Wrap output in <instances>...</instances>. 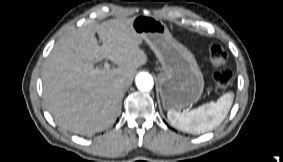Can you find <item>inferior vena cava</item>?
<instances>
[{
  "label": "inferior vena cava",
  "mask_w": 283,
  "mask_h": 162,
  "mask_svg": "<svg viewBox=\"0 0 283 162\" xmlns=\"http://www.w3.org/2000/svg\"><path fill=\"white\" fill-rule=\"evenodd\" d=\"M118 84H119L121 87H123V88L126 86L124 79H119V80H118Z\"/></svg>",
  "instance_id": "602c4592"
}]
</instances>
